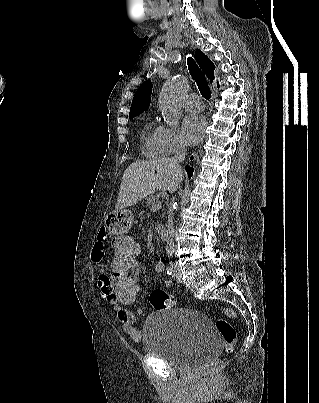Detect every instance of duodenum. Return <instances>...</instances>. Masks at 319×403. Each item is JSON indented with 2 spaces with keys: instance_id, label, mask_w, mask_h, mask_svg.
Returning <instances> with one entry per match:
<instances>
[{
  "instance_id": "1",
  "label": "duodenum",
  "mask_w": 319,
  "mask_h": 403,
  "mask_svg": "<svg viewBox=\"0 0 319 403\" xmlns=\"http://www.w3.org/2000/svg\"><path fill=\"white\" fill-rule=\"evenodd\" d=\"M155 232L162 238H167L168 231L167 228L164 224L162 223H156L155 224Z\"/></svg>"
}]
</instances>
